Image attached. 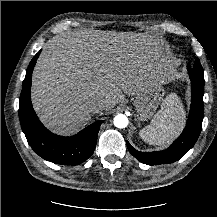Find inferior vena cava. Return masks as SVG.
<instances>
[{"instance_id": "inferior-vena-cava-1", "label": "inferior vena cava", "mask_w": 217, "mask_h": 217, "mask_svg": "<svg viewBox=\"0 0 217 217\" xmlns=\"http://www.w3.org/2000/svg\"><path fill=\"white\" fill-rule=\"evenodd\" d=\"M105 103H106V101H104V100L91 102L89 104L90 112L91 113H99V112H101L102 110L105 109Z\"/></svg>"}]
</instances>
